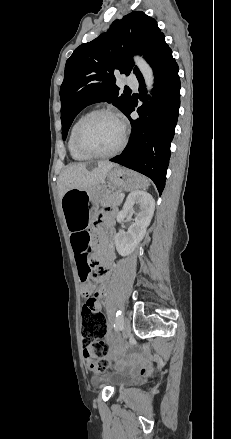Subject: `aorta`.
Wrapping results in <instances>:
<instances>
[{"label": "aorta", "instance_id": "1", "mask_svg": "<svg viewBox=\"0 0 231 439\" xmlns=\"http://www.w3.org/2000/svg\"><path fill=\"white\" fill-rule=\"evenodd\" d=\"M134 62L138 66L139 70L141 71V73L145 79L146 87L148 90V95H150L151 90L153 88V83H154L153 70L150 67V65L140 56H135Z\"/></svg>", "mask_w": 231, "mask_h": 439}]
</instances>
